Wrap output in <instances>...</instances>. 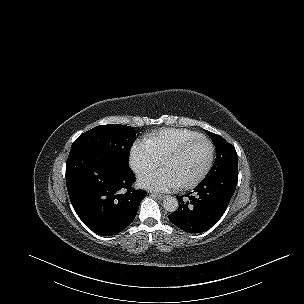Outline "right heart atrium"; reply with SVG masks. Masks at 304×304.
<instances>
[{"mask_svg":"<svg viewBox=\"0 0 304 304\" xmlns=\"http://www.w3.org/2000/svg\"><path fill=\"white\" fill-rule=\"evenodd\" d=\"M158 156L152 146L145 141L137 142L130 155V163L132 167L138 170L149 169L156 166Z\"/></svg>","mask_w":304,"mask_h":304,"instance_id":"1","label":"right heart atrium"}]
</instances>
